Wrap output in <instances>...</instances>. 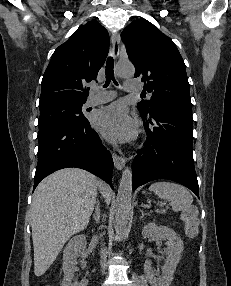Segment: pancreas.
Here are the masks:
<instances>
[{"label":"pancreas","instance_id":"pancreas-1","mask_svg":"<svg viewBox=\"0 0 231 286\" xmlns=\"http://www.w3.org/2000/svg\"><path fill=\"white\" fill-rule=\"evenodd\" d=\"M158 213H165V210L157 211Z\"/></svg>","mask_w":231,"mask_h":286}]
</instances>
